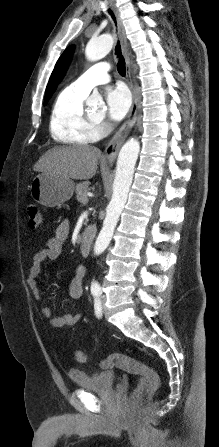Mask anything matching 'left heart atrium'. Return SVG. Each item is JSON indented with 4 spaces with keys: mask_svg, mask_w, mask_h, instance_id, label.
<instances>
[{
    "mask_svg": "<svg viewBox=\"0 0 219 447\" xmlns=\"http://www.w3.org/2000/svg\"><path fill=\"white\" fill-rule=\"evenodd\" d=\"M106 106L107 115L110 119L115 121L123 119L131 107L130 93L122 86L108 90Z\"/></svg>",
    "mask_w": 219,
    "mask_h": 447,
    "instance_id": "obj_1",
    "label": "left heart atrium"
}]
</instances>
